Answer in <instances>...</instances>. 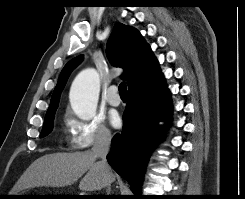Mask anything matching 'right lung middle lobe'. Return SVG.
Returning <instances> with one entry per match:
<instances>
[{
    "label": "right lung middle lobe",
    "mask_w": 245,
    "mask_h": 199,
    "mask_svg": "<svg viewBox=\"0 0 245 199\" xmlns=\"http://www.w3.org/2000/svg\"><path fill=\"white\" fill-rule=\"evenodd\" d=\"M54 114H55V112L45 116L44 125L42 128L40 137H44L52 131Z\"/></svg>",
    "instance_id": "1"
}]
</instances>
